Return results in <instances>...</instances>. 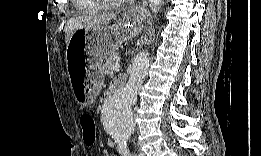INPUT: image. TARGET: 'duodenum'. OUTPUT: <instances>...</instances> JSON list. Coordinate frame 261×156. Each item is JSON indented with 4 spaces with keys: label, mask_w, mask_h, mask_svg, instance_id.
<instances>
[{
    "label": "duodenum",
    "mask_w": 261,
    "mask_h": 156,
    "mask_svg": "<svg viewBox=\"0 0 261 156\" xmlns=\"http://www.w3.org/2000/svg\"><path fill=\"white\" fill-rule=\"evenodd\" d=\"M122 83H118L116 85H114L111 89H110V92H109V95H108V98H111L113 96H115L118 92V90L122 87Z\"/></svg>",
    "instance_id": "1"
}]
</instances>
